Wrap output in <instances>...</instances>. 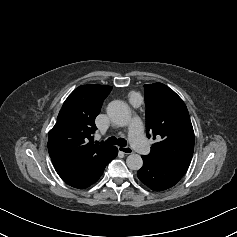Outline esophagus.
Listing matches in <instances>:
<instances>
[{"mask_svg": "<svg viewBox=\"0 0 237 237\" xmlns=\"http://www.w3.org/2000/svg\"><path fill=\"white\" fill-rule=\"evenodd\" d=\"M118 150L126 155L133 153V150L130 147H118Z\"/></svg>", "mask_w": 237, "mask_h": 237, "instance_id": "esophagus-1", "label": "esophagus"}]
</instances>
